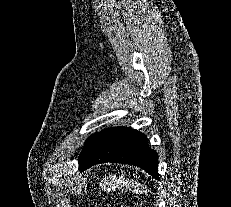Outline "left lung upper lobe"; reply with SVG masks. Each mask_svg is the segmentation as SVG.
I'll return each mask as SVG.
<instances>
[{
    "label": "left lung upper lobe",
    "instance_id": "left-lung-upper-lobe-1",
    "mask_svg": "<svg viewBox=\"0 0 231 207\" xmlns=\"http://www.w3.org/2000/svg\"><path fill=\"white\" fill-rule=\"evenodd\" d=\"M96 135H97V132L94 133L93 135H91V136L86 140V142H85V144H84V148H83V150H82V152H81V154H80V157H79V159H78V162H80V161L82 160L83 156L86 154V152H87V150L89 149L90 145H91L92 142L94 141Z\"/></svg>",
    "mask_w": 231,
    "mask_h": 207
}]
</instances>
